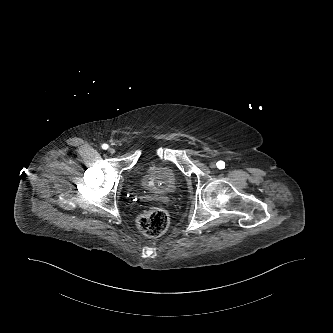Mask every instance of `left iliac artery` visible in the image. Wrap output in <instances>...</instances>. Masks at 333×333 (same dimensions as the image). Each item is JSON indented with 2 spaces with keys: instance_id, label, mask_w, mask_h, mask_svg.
<instances>
[{
  "instance_id": "44dca946",
  "label": "left iliac artery",
  "mask_w": 333,
  "mask_h": 333,
  "mask_svg": "<svg viewBox=\"0 0 333 333\" xmlns=\"http://www.w3.org/2000/svg\"><path fill=\"white\" fill-rule=\"evenodd\" d=\"M217 167H218V169H224L225 168V162L224 161H218L217 162Z\"/></svg>"
}]
</instances>
